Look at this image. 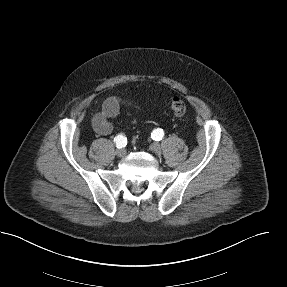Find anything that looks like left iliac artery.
I'll list each match as a JSON object with an SVG mask.
<instances>
[{"mask_svg":"<svg viewBox=\"0 0 287 287\" xmlns=\"http://www.w3.org/2000/svg\"><path fill=\"white\" fill-rule=\"evenodd\" d=\"M164 136V131L163 129H160V128H157V129H154L152 134H151V137L155 140V141H160L162 140Z\"/></svg>","mask_w":287,"mask_h":287,"instance_id":"left-iliac-artery-1","label":"left iliac artery"}]
</instances>
